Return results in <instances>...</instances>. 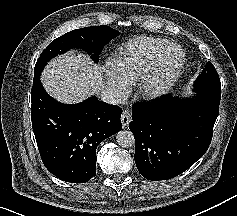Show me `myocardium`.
<instances>
[{"mask_svg":"<svg viewBox=\"0 0 237 216\" xmlns=\"http://www.w3.org/2000/svg\"><path fill=\"white\" fill-rule=\"evenodd\" d=\"M176 49L179 53L180 62L174 76L169 79L159 80L155 78V73L163 60L164 55L170 49ZM186 61V53L181 45L175 42H168L158 52L156 61L141 75L134 91L135 98H144L146 100H155L166 91L172 89L180 80Z\"/></svg>","mask_w":237,"mask_h":216,"instance_id":"obj_1","label":"myocardium"}]
</instances>
